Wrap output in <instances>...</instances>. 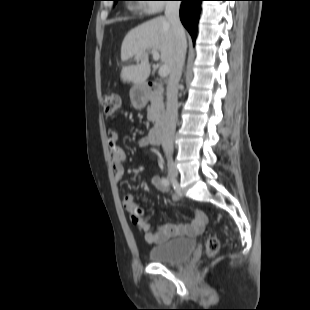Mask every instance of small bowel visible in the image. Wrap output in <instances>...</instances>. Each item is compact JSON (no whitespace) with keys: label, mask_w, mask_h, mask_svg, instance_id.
Masks as SVG:
<instances>
[{"label":"small bowel","mask_w":310,"mask_h":310,"mask_svg":"<svg viewBox=\"0 0 310 310\" xmlns=\"http://www.w3.org/2000/svg\"><path fill=\"white\" fill-rule=\"evenodd\" d=\"M107 142L114 170V178L116 182H120L123 176V165L127 161V156L117 144L118 134L113 127L108 129ZM138 145L146 149L148 147V139L146 137L139 138ZM148 181L151 185L162 192L170 191V188L166 186L161 177L157 175L150 177ZM178 199L179 198L176 194H172L173 201H178ZM122 205L130 214L132 223L144 232L146 241L151 244H161L181 234L195 235L203 230L207 224L206 215L202 211L197 210L194 213L193 221L190 224L177 225L174 223H166L153 227L148 222L147 218L139 213V206L133 195L126 194L123 197Z\"/></svg>","instance_id":"c3829d8e"}]
</instances>
